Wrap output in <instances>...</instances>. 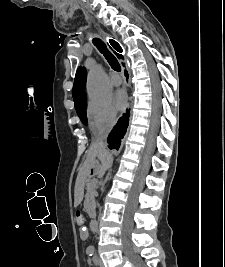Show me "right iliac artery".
<instances>
[{"label":"right iliac artery","mask_w":225,"mask_h":267,"mask_svg":"<svg viewBox=\"0 0 225 267\" xmlns=\"http://www.w3.org/2000/svg\"><path fill=\"white\" fill-rule=\"evenodd\" d=\"M87 254L89 255V256H92L93 254H94V249H92V248H87Z\"/></svg>","instance_id":"right-iliac-artery-1"}]
</instances>
